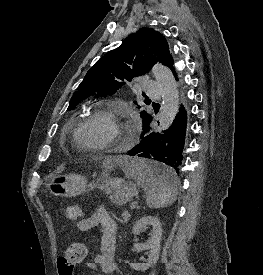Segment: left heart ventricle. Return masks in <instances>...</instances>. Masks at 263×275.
Wrapping results in <instances>:
<instances>
[{"instance_id":"obj_1","label":"left heart ventricle","mask_w":263,"mask_h":275,"mask_svg":"<svg viewBox=\"0 0 263 275\" xmlns=\"http://www.w3.org/2000/svg\"><path fill=\"white\" fill-rule=\"evenodd\" d=\"M114 135L112 124L103 118L91 120L81 131L83 141L87 143H102L111 139Z\"/></svg>"}]
</instances>
